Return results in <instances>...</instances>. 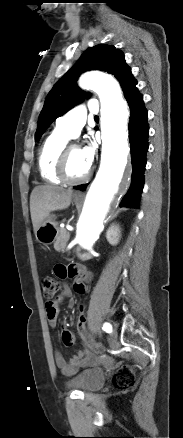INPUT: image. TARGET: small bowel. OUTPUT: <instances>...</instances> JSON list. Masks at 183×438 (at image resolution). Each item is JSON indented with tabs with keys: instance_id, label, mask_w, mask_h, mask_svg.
Masks as SVG:
<instances>
[{
	"instance_id": "1",
	"label": "small bowel",
	"mask_w": 183,
	"mask_h": 438,
	"mask_svg": "<svg viewBox=\"0 0 183 438\" xmlns=\"http://www.w3.org/2000/svg\"><path fill=\"white\" fill-rule=\"evenodd\" d=\"M55 275L59 278L75 277L79 276V281H77L73 290L79 294H84L87 290L86 284L91 280V274L87 269L79 265H63L58 264L54 268ZM72 296V289L69 285L65 284L63 290L58 300L48 301L46 303V314L50 326L55 327L58 320L59 314V303L63 299L70 298ZM62 342L66 346H72L75 341V336L73 332L65 329L61 335ZM55 364L60 369L64 376L74 375L80 368L88 365L94 359L93 355L88 349H80L69 359L67 362L59 351L55 352L54 355Z\"/></svg>"
}]
</instances>
